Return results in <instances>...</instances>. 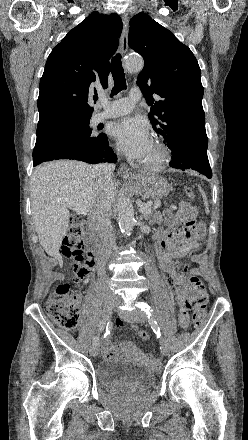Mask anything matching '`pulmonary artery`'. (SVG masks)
Masks as SVG:
<instances>
[{
  "mask_svg": "<svg viewBox=\"0 0 248 440\" xmlns=\"http://www.w3.org/2000/svg\"><path fill=\"white\" fill-rule=\"evenodd\" d=\"M142 93L138 88L131 90L130 95L125 98H121L115 101H108L105 97H101L99 100V108L92 116L93 123L97 124L108 118H114L129 113L140 101Z\"/></svg>",
  "mask_w": 248,
  "mask_h": 440,
  "instance_id": "1",
  "label": "pulmonary artery"
}]
</instances>
